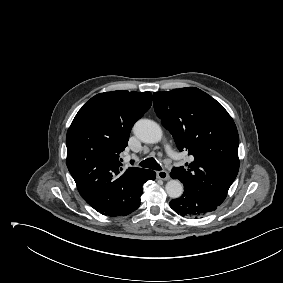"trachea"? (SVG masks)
Segmentation results:
<instances>
[{
	"label": "trachea",
	"instance_id": "1",
	"mask_svg": "<svg viewBox=\"0 0 283 283\" xmlns=\"http://www.w3.org/2000/svg\"><path fill=\"white\" fill-rule=\"evenodd\" d=\"M141 167L150 168L153 170H162L161 166L157 163L154 158H147L140 162L139 164Z\"/></svg>",
	"mask_w": 283,
	"mask_h": 283
}]
</instances>
